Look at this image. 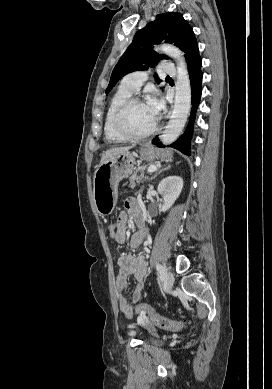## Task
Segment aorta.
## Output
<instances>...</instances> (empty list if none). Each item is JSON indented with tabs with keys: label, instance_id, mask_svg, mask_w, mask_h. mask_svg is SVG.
Returning <instances> with one entry per match:
<instances>
[{
	"label": "aorta",
	"instance_id": "1",
	"mask_svg": "<svg viewBox=\"0 0 272 389\" xmlns=\"http://www.w3.org/2000/svg\"><path fill=\"white\" fill-rule=\"evenodd\" d=\"M159 50L177 63L176 94L171 119L161 135L164 145L171 144L184 128L191 108V85L184 54L175 46L164 44Z\"/></svg>",
	"mask_w": 272,
	"mask_h": 389
}]
</instances>
